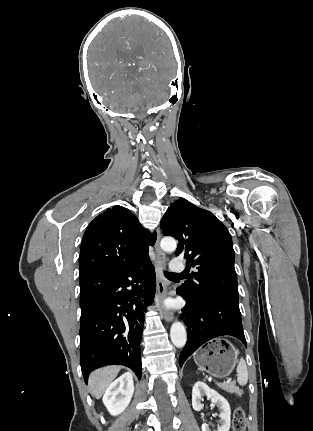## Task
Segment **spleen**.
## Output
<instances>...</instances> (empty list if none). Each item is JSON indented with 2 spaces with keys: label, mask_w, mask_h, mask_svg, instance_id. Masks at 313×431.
Listing matches in <instances>:
<instances>
[{
  "label": "spleen",
  "mask_w": 313,
  "mask_h": 431,
  "mask_svg": "<svg viewBox=\"0 0 313 431\" xmlns=\"http://www.w3.org/2000/svg\"><path fill=\"white\" fill-rule=\"evenodd\" d=\"M237 382L239 385L244 386L247 384L248 381V370L246 362L243 358L240 359L238 366H237Z\"/></svg>",
  "instance_id": "3e777b00"
}]
</instances>
